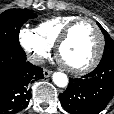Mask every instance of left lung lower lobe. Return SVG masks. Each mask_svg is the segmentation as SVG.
<instances>
[{"label": "left lung lower lobe", "instance_id": "obj_1", "mask_svg": "<svg viewBox=\"0 0 114 114\" xmlns=\"http://www.w3.org/2000/svg\"><path fill=\"white\" fill-rule=\"evenodd\" d=\"M114 95V61L99 63L82 79H70L59 95L62 107L72 114H98Z\"/></svg>", "mask_w": 114, "mask_h": 114}]
</instances>
